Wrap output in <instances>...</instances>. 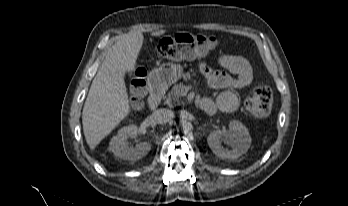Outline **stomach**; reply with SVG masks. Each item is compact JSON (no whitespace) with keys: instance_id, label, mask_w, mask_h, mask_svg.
I'll use <instances>...</instances> for the list:
<instances>
[{"instance_id":"0dacf381","label":"stomach","mask_w":348,"mask_h":206,"mask_svg":"<svg viewBox=\"0 0 348 206\" xmlns=\"http://www.w3.org/2000/svg\"><path fill=\"white\" fill-rule=\"evenodd\" d=\"M184 37L185 41L181 45L188 59L206 56L209 49L216 43L213 39L204 35L186 34ZM182 70L179 64L168 62L152 70L150 78L157 86L168 87L181 78Z\"/></svg>"}]
</instances>
